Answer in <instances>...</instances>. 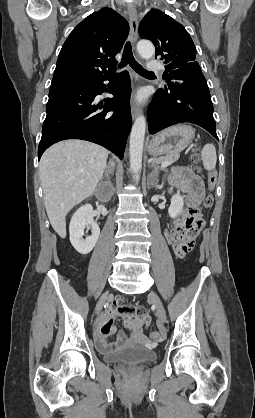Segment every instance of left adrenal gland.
I'll return each instance as SVG.
<instances>
[{
	"label": "left adrenal gland",
	"mask_w": 255,
	"mask_h": 418,
	"mask_svg": "<svg viewBox=\"0 0 255 418\" xmlns=\"http://www.w3.org/2000/svg\"><path fill=\"white\" fill-rule=\"evenodd\" d=\"M149 167H153V172H152V174L151 175H153V174H158V171L160 170V168L158 167V166H156L154 163H149ZM150 175V176H151ZM148 184L150 185V186H152V187H157V182L156 183H150L149 181H148Z\"/></svg>",
	"instance_id": "left-adrenal-gland-1"
}]
</instances>
